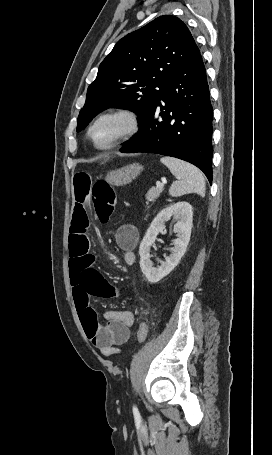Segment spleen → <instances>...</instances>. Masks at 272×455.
<instances>
[{"label": "spleen", "instance_id": "obj_1", "mask_svg": "<svg viewBox=\"0 0 272 455\" xmlns=\"http://www.w3.org/2000/svg\"><path fill=\"white\" fill-rule=\"evenodd\" d=\"M161 162L177 178L169 189V194L172 197H179L190 193H196L201 197H205V179L199 169L190 163L173 157H162Z\"/></svg>", "mask_w": 272, "mask_h": 455}]
</instances>
